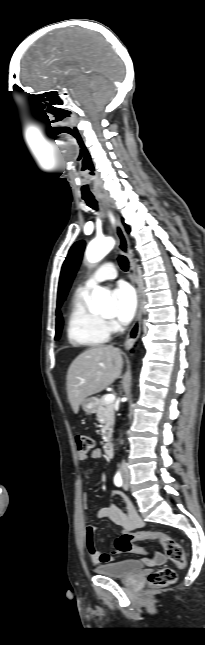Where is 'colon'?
<instances>
[{"label": "colon", "instance_id": "1", "mask_svg": "<svg viewBox=\"0 0 205 645\" xmlns=\"http://www.w3.org/2000/svg\"><path fill=\"white\" fill-rule=\"evenodd\" d=\"M76 445L79 454H88L94 447L93 440L86 435L76 436ZM138 540H158L163 546L166 557L177 567L183 568L186 564L183 547L169 535L158 531H143L138 534H126L118 537L115 541V548L119 553L133 552L146 554V551L137 546L134 542ZM177 580L175 570L169 567L161 568L148 576L149 584L152 587H166L174 584Z\"/></svg>", "mask_w": 205, "mask_h": 645}]
</instances>
